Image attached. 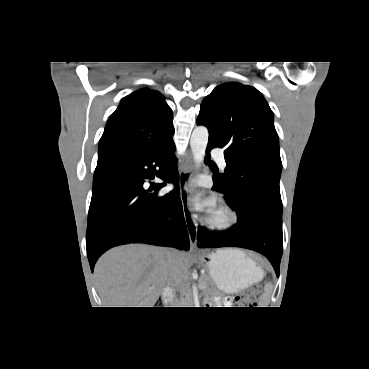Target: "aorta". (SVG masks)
Wrapping results in <instances>:
<instances>
[{"instance_id":"762f6f07","label":"aorta","mask_w":369,"mask_h":369,"mask_svg":"<svg viewBox=\"0 0 369 369\" xmlns=\"http://www.w3.org/2000/svg\"><path fill=\"white\" fill-rule=\"evenodd\" d=\"M208 129L205 126H197L191 135L190 146L194 161L198 166L204 159L208 144Z\"/></svg>"}]
</instances>
